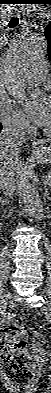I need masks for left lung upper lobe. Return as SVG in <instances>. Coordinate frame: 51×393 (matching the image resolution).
Returning a JSON list of instances; mask_svg holds the SVG:
<instances>
[{
    "label": "left lung upper lobe",
    "mask_w": 51,
    "mask_h": 393,
    "mask_svg": "<svg viewBox=\"0 0 51 393\" xmlns=\"http://www.w3.org/2000/svg\"><path fill=\"white\" fill-rule=\"evenodd\" d=\"M44 34L48 41V57L51 61V23L46 26Z\"/></svg>",
    "instance_id": "obj_1"
}]
</instances>
